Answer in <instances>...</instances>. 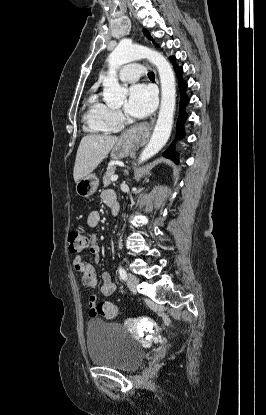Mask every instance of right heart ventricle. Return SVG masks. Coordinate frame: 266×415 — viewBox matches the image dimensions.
I'll list each match as a JSON object with an SVG mask.
<instances>
[{
	"label": "right heart ventricle",
	"mask_w": 266,
	"mask_h": 415,
	"mask_svg": "<svg viewBox=\"0 0 266 415\" xmlns=\"http://www.w3.org/2000/svg\"><path fill=\"white\" fill-rule=\"evenodd\" d=\"M108 106L99 100L97 93H92L88 98V109L85 120L94 132H108L112 126L107 120Z\"/></svg>",
	"instance_id": "e07e8e85"
}]
</instances>
